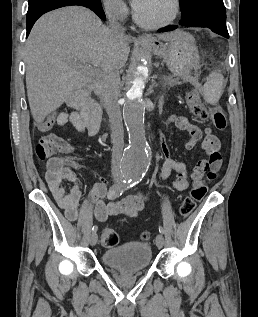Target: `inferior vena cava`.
I'll use <instances>...</instances> for the list:
<instances>
[{"label": "inferior vena cava", "mask_w": 258, "mask_h": 317, "mask_svg": "<svg viewBox=\"0 0 258 317\" xmlns=\"http://www.w3.org/2000/svg\"><path fill=\"white\" fill-rule=\"evenodd\" d=\"M106 12L109 18L110 32L112 34L123 32L124 28H122L117 20L112 4H107ZM117 68L118 66H112L111 62L103 68L102 102L107 110L111 128V142L113 144L111 159L112 177L121 179L122 172L120 171V165L124 146V130L120 106L116 102V98L120 96L118 92L120 76Z\"/></svg>", "instance_id": "602c4592"}]
</instances>
